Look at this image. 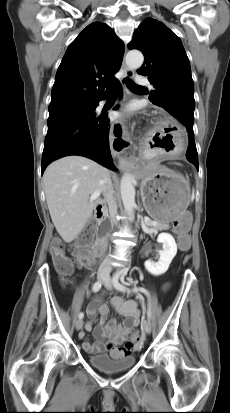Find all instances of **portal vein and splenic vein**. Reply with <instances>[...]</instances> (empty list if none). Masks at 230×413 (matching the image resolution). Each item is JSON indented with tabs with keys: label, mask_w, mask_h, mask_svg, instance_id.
<instances>
[{
	"label": "portal vein and splenic vein",
	"mask_w": 230,
	"mask_h": 413,
	"mask_svg": "<svg viewBox=\"0 0 230 413\" xmlns=\"http://www.w3.org/2000/svg\"><path fill=\"white\" fill-rule=\"evenodd\" d=\"M101 190H97V191H95L92 195H91V197H90V200H95L96 198H98L99 196H100V194H101ZM157 223L156 222H151V225H156Z\"/></svg>",
	"instance_id": "portal-vein-and-splenic-vein-1"
}]
</instances>
